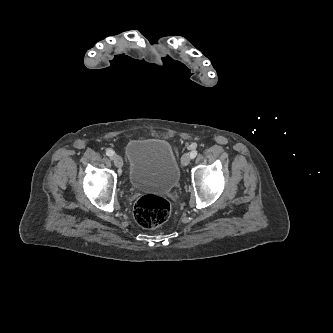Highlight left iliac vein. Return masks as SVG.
Listing matches in <instances>:
<instances>
[{"mask_svg": "<svg viewBox=\"0 0 333 333\" xmlns=\"http://www.w3.org/2000/svg\"><path fill=\"white\" fill-rule=\"evenodd\" d=\"M191 161V157L189 153H185L181 158V163L184 166H187Z\"/></svg>", "mask_w": 333, "mask_h": 333, "instance_id": "4c4485c4", "label": "left iliac vein"}]
</instances>
